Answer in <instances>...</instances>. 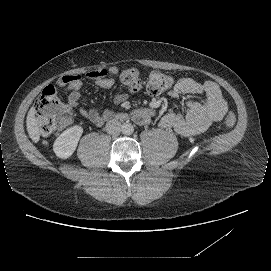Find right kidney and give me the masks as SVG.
Instances as JSON below:
<instances>
[{
    "label": "right kidney",
    "instance_id": "ca27d5eb",
    "mask_svg": "<svg viewBox=\"0 0 271 271\" xmlns=\"http://www.w3.org/2000/svg\"><path fill=\"white\" fill-rule=\"evenodd\" d=\"M82 134V128L79 126L71 127L56 139L54 151L60 158H68L76 148L77 142Z\"/></svg>",
    "mask_w": 271,
    "mask_h": 271
}]
</instances>
